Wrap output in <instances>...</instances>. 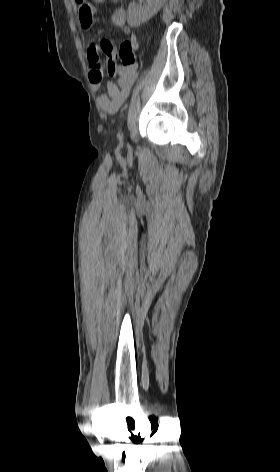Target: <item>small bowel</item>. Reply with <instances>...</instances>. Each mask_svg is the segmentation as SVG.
<instances>
[{"instance_id": "small-bowel-1", "label": "small bowel", "mask_w": 280, "mask_h": 472, "mask_svg": "<svg viewBox=\"0 0 280 472\" xmlns=\"http://www.w3.org/2000/svg\"><path fill=\"white\" fill-rule=\"evenodd\" d=\"M96 3H102L104 0H93ZM78 6L79 21L84 29H90L93 25L96 9L88 0H75ZM112 22L124 33L130 34L131 28L127 24V13L123 8L114 10ZM135 47L137 38L131 34L129 37ZM105 55L107 62H115L118 57V50L115 44L109 39H103L98 44L92 43L87 50V59L89 61V79L93 90H99L103 79V67L101 65L100 55ZM138 65L126 66L117 65L116 78L107 83V94H102L97 98L99 106L109 114L115 113L127 99L132 85L137 77Z\"/></svg>"}]
</instances>
